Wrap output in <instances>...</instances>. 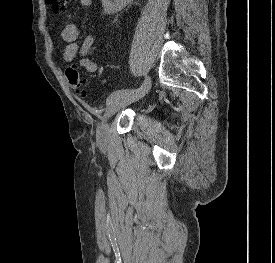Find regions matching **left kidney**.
I'll list each match as a JSON object with an SVG mask.
<instances>
[{
  "mask_svg": "<svg viewBox=\"0 0 275 263\" xmlns=\"http://www.w3.org/2000/svg\"><path fill=\"white\" fill-rule=\"evenodd\" d=\"M105 13L115 14L125 8L132 0H101Z\"/></svg>",
  "mask_w": 275,
  "mask_h": 263,
  "instance_id": "1",
  "label": "left kidney"
}]
</instances>
